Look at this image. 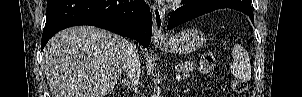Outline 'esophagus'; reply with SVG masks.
<instances>
[{
    "label": "esophagus",
    "instance_id": "1",
    "mask_svg": "<svg viewBox=\"0 0 302 97\" xmlns=\"http://www.w3.org/2000/svg\"><path fill=\"white\" fill-rule=\"evenodd\" d=\"M152 16H153V29H152V39L154 43H161L166 40L165 34L163 32L165 12L164 10L153 4L151 6Z\"/></svg>",
    "mask_w": 302,
    "mask_h": 97
}]
</instances>
